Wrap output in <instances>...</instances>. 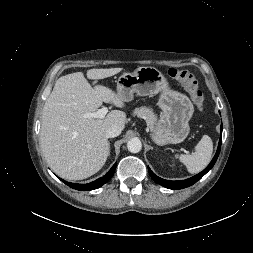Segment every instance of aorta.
I'll list each match as a JSON object with an SVG mask.
<instances>
[{"mask_svg":"<svg viewBox=\"0 0 253 253\" xmlns=\"http://www.w3.org/2000/svg\"><path fill=\"white\" fill-rule=\"evenodd\" d=\"M127 148L131 153H138L142 149V143L138 138H132L128 141Z\"/></svg>","mask_w":253,"mask_h":253,"instance_id":"aorta-1","label":"aorta"}]
</instances>
